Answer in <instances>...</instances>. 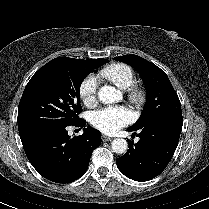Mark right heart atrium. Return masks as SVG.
<instances>
[{
	"mask_svg": "<svg viewBox=\"0 0 209 209\" xmlns=\"http://www.w3.org/2000/svg\"><path fill=\"white\" fill-rule=\"evenodd\" d=\"M98 78L94 75L87 76L79 86L80 99L86 106L95 102L98 88Z\"/></svg>",
	"mask_w": 209,
	"mask_h": 209,
	"instance_id": "d8ad5b80",
	"label": "right heart atrium"
}]
</instances>
